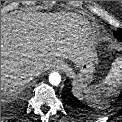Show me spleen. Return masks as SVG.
Returning a JSON list of instances; mask_svg holds the SVG:
<instances>
[{"label": "spleen", "mask_w": 122, "mask_h": 122, "mask_svg": "<svg viewBox=\"0 0 122 122\" xmlns=\"http://www.w3.org/2000/svg\"><path fill=\"white\" fill-rule=\"evenodd\" d=\"M122 85V57L117 58L109 71V74L99 84L87 86L78 83L73 84L72 93L79 100L91 107L101 109L108 105V100L119 93Z\"/></svg>", "instance_id": "1"}]
</instances>
